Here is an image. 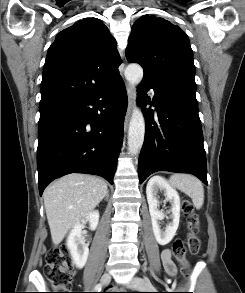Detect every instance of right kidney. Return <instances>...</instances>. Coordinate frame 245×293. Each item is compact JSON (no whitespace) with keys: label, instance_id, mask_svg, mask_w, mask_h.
I'll use <instances>...</instances> for the list:
<instances>
[{"label":"right kidney","instance_id":"obj_1","mask_svg":"<svg viewBox=\"0 0 245 293\" xmlns=\"http://www.w3.org/2000/svg\"><path fill=\"white\" fill-rule=\"evenodd\" d=\"M83 222H89L90 229L95 230L99 222V212L92 211L88 213ZM67 247L70 251L71 258L75 266L79 269L83 268L87 262L89 248L82 237V224L78 221L70 231L67 237Z\"/></svg>","mask_w":245,"mask_h":293}]
</instances>
